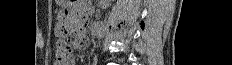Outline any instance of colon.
Returning a JSON list of instances; mask_svg holds the SVG:
<instances>
[{
    "label": "colon",
    "mask_w": 232,
    "mask_h": 65,
    "mask_svg": "<svg viewBox=\"0 0 232 65\" xmlns=\"http://www.w3.org/2000/svg\"><path fill=\"white\" fill-rule=\"evenodd\" d=\"M71 51H72V47L70 43H67V41L62 39L58 40L56 43V50H55L56 60L58 62L64 61L68 56H70Z\"/></svg>",
    "instance_id": "5ec220e1"
}]
</instances>
